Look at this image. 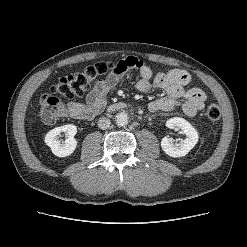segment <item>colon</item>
<instances>
[{"instance_id": "5ec220e1", "label": "colon", "mask_w": 247, "mask_h": 247, "mask_svg": "<svg viewBox=\"0 0 247 247\" xmlns=\"http://www.w3.org/2000/svg\"><path fill=\"white\" fill-rule=\"evenodd\" d=\"M129 64L123 60L118 63L98 62L74 74L60 78L51 88V92L45 93L40 98V116L45 123L53 124L63 119L67 114V107L57 95L66 98L82 96L101 77L108 72L124 71ZM221 112L217 105L211 104L206 109V118L215 123L220 119Z\"/></svg>"}]
</instances>
